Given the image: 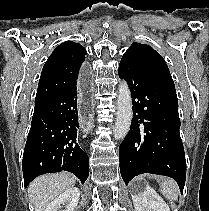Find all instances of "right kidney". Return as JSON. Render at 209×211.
Listing matches in <instances>:
<instances>
[{"mask_svg":"<svg viewBox=\"0 0 209 211\" xmlns=\"http://www.w3.org/2000/svg\"><path fill=\"white\" fill-rule=\"evenodd\" d=\"M80 198V191L76 187H72L57 198H55L45 209V211H58L61 205L66 204V208L63 211H74Z\"/></svg>","mask_w":209,"mask_h":211,"instance_id":"obj_1","label":"right kidney"}]
</instances>
